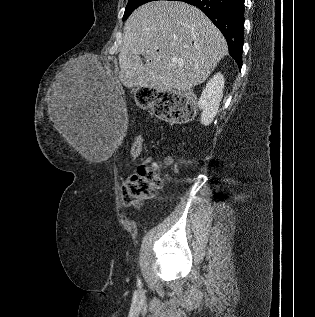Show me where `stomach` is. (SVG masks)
<instances>
[{"mask_svg": "<svg viewBox=\"0 0 315 317\" xmlns=\"http://www.w3.org/2000/svg\"><path fill=\"white\" fill-rule=\"evenodd\" d=\"M136 94L137 95H156L157 89L156 88H137ZM138 103L139 104H152L153 98L152 97H139Z\"/></svg>", "mask_w": 315, "mask_h": 317, "instance_id": "obj_1", "label": "stomach"}]
</instances>
